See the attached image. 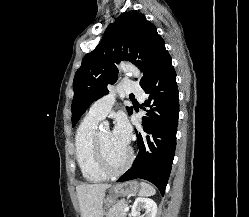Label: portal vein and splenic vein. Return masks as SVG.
Returning <instances> with one entry per match:
<instances>
[{
	"label": "portal vein and splenic vein",
	"instance_id": "1",
	"mask_svg": "<svg viewBox=\"0 0 249 217\" xmlns=\"http://www.w3.org/2000/svg\"><path fill=\"white\" fill-rule=\"evenodd\" d=\"M128 211H129V207H128V206H125L124 212H128Z\"/></svg>",
	"mask_w": 249,
	"mask_h": 217
}]
</instances>
